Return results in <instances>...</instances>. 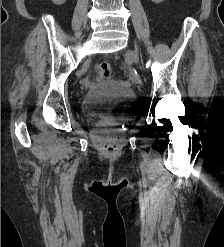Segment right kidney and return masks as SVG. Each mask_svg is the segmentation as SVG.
I'll return each mask as SVG.
<instances>
[{
  "label": "right kidney",
  "mask_w": 224,
  "mask_h": 247,
  "mask_svg": "<svg viewBox=\"0 0 224 247\" xmlns=\"http://www.w3.org/2000/svg\"><path fill=\"white\" fill-rule=\"evenodd\" d=\"M53 4H56V6H61V4H64L66 0H52Z\"/></svg>",
  "instance_id": "1"
}]
</instances>
